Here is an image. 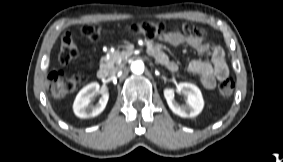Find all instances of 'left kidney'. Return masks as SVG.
<instances>
[{
  "instance_id": "1",
  "label": "left kidney",
  "mask_w": 283,
  "mask_h": 162,
  "mask_svg": "<svg viewBox=\"0 0 283 162\" xmlns=\"http://www.w3.org/2000/svg\"><path fill=\"white\" fill-rule=\"evenodd\" d=\"M176 91L186 95L187 101L185 104L180 105L174 98V89H164V97L173 113L180 117L192 118L202 111L204 101L201 91L196 85L182 82L177 85Z\"/></svg>"
}]
</instances>
